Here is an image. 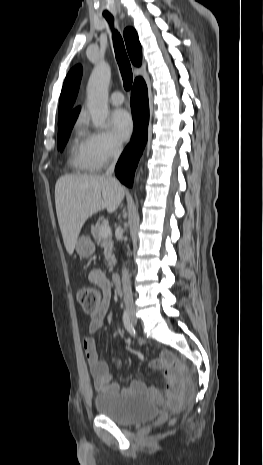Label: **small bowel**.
I'll use <instances>...</instances> for the list:
<instances>
[{
    "instance_id": "1",
    "label": "small bowel",
    "mask_w": 263,
    "mask_h": 465,
    "mask_svg": "<svg viewBox=\"0 0 263 465\" xmlns=\"http://www.w3.org/2000/svg\"><path fill=\"white\" fill-rule=\"evenodd\" d=\"M89 281L102 291V299L95 308L89 311L88 331L83 337L85 357L95 389L101 392L107 390L119 391V386L112 382V376L107 364L98 358L94 338L95 332L104 324L108 313L110 302L109 281L104 273L98 269H93L89 272ZM151 365L155 368H163L166 392L163 396L158 389L151 387L148 389L149 394L159 402L166 401L169 404L180 403L185 394L187 382L181 367L175 365L173 356L170 353H163ZM130 389H145V386L140 382H133Z\"/></svg>"
}]
</instances>
